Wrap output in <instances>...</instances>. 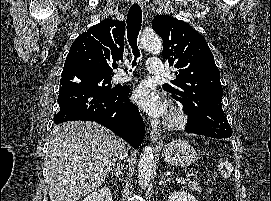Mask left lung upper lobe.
Segmentation results:
<instances>
[{
  "label": "left lung upper lobe",
  "instance_id": "1",
  "mask_svg": "<svg viewBox=\"0 0 271 201\" xmlns=\"http://www.w3.org/2000/svg\"><path fill=\"white\" fill-rule=\"evenodd\" d=\"M152 28L163 40L164 58L178 69L176 79L164 84L163 89L182 97L175 99L188 113L187 127L199 129L208 137H230L232 128L221 104L220 72L205 38L184 21L168 15L155 16Z\"/></svg>",
  "mask_w": 271,
  "mask_h": 201
}]
</instances>
